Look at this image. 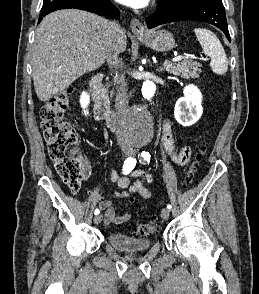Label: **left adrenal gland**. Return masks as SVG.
Wrapping results in <instances>:
<instances>
[{
  "label": "left adrenal gland",
  "mask_w": 259,
  "mask_h": 294,
  "mask_svg": "<svg viewBox=\"0 0 259 294\" xmlns=\"http://www.w3.org/2000/svg\"><path fill=\"white\" fill-rule=\"evenodd\" d=\"M163 68L162 67H160L159 69H157V71L159 72V73H162L163 72Z\"/></svg>",
  "instance_id": "left-adrenal-gland-1"
}]
</instances>
